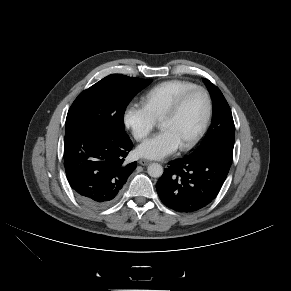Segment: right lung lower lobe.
Masks as SVG:
<instances>
[{"label":"right lung lower lobe","instance_id":"obj_1","mask_svg":"<svg viewBox=\"0 0 291 291\" xmlns=\"http://www.w3.org/2000/svg\"><path fill=\"white\" fill-rule=\"evenodd\" d=\"M133 144L125 131L79 129L64 138L68 182L79 200L90 208L112 204L136 163L124 162Z\"/></svg>","mask_w":291,"mask_h":291}]
</instances>
